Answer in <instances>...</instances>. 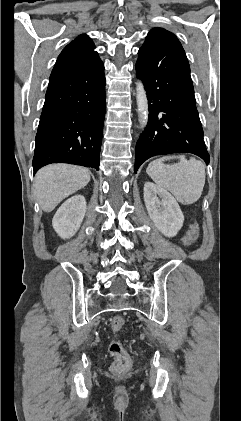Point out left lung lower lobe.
<instances>
[{"instance_id":"left-lung-lower-lobe-1","label":"left lung lower lobe","mask_w":241,"mask_h":421,"mask_svg":"<svg viewBox=\"0 0 241 421\" xmlns=\"http://www.w3.org/2000/svg\"><path fill=\"white\" fill-rule=\"evenodd\" d=\"M135 68L149 103L148 124L136 145L135 173L148 158L171 153H192L208 164L190 67L177 37L149 32Z\"/></svg>"}]
</instances>
